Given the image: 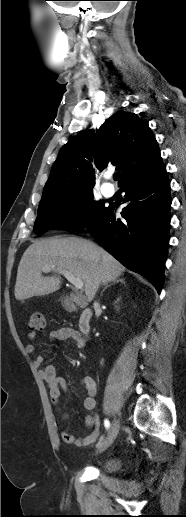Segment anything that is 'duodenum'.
I'll return each mask as SVG.
<instances>
[{
	"mask_svg": "<svg viewBox=\"0 0 186 517\" xmlns=\"http://www.w3.org/2000/svg\"><path fill=\"white\" fill-rule=\"evenodd\" d=\"M67 309L69 311H74L76 309V305H74L69 299H66ZM93 315L92 309L89 307H84L81 311V314L78 319V327L79 331L87 336L91 332V318Z\"/></svg>",
	"mask_w": 186,
	"mask_h": 517,
	"instance_id": "1",
	"label": "duodenum"
}]
</instances>
